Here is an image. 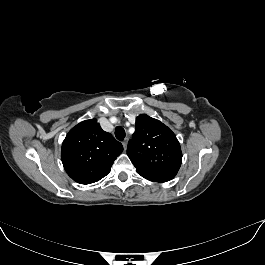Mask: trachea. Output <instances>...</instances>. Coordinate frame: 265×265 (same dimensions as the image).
Listing matches in <instances>:
<instances>
[{
	"mask_svg": "<svg viewBox=\"0 0 265 265\" xmlns=\"http://www.w3.org/2000/svg\"><path fill=\"white\" fill-rule=\"evenodd\" d=\"M126 133L122 127H117L115 130V136L118 140L122 141L125 137Z\"/></svg>",
	"mask_w": 265,
	"mask_h": 265,
	"instance_id": "trachea-1",
	"label": "trachea"
}]
</instances>
